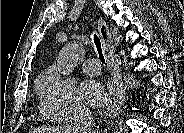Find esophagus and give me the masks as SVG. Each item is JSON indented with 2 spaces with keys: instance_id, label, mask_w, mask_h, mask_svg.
Here are the masks:
<instances>
[{
  "instance_id": "esophagus-1",
  "label": "esophagus",
  "mask_w": 184,
  "mask_h": 133,
  "mask_svg": "<svg viewBox=\"0 0 184 133\" xmlns=\"http://www.w3.org/2000/svg\"><path fill=\"white\" fill-rule=\"evenodd\" d=\"M98 34L102 43V48L108 57V61L112 62L113 58H112V50H111V45H112L111 37L106 24L100 20L98 21ZM110 107H111V101L109 100L108 109H110Z\"/></svg>"
}]
</instances>
